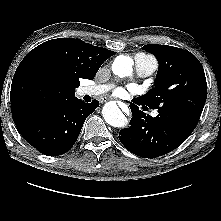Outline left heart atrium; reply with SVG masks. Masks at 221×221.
I'll return each instance as SVG.
<instances>
[{
    "label": "left heart atrium",
    "mask_w": 221,
    "mask_h": 221,
    "mask_svg": "<svg viewBox=\"0 0 221 221\" xmlns=\"http://www.w3.org/2000/svg\"><path fill=\"white\" fill-rule=\"evenodd\" d=\"M116 93H117L118 95H121V94H122V90H121V89H118V90L116 91Z\"/></svg>",
    "instance_id": "left-heart-atrium-1"
}]
</instances>
